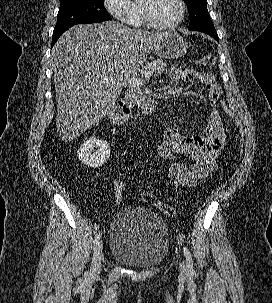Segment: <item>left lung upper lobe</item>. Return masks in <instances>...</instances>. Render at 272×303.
I'll return each instance as SVG.
<instances>
[{"mask_svg": "<svg viewBox=\"0 0 272 303\" xmlns=\"http://www.w3.org/2000/svg\"><path fill=\"white\" fill-rule=\"evenodd\" d=\"M187 4L191 24L189 30L203 31L215 29L207 10V0H184Z\"/></svg>", "mask_w": 272, "mask_h": 303, "instance_id": "1", "label": "left lung upper lobe"}]
</instances>
